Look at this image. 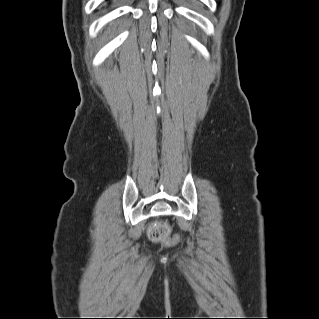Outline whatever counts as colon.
Wrapping results in <instances>:
<instances>
[{
	"label": "colon",
	"instance_id": "5ec220e1",
	"mask_svg": "<svg viewBox=\"0 0 319 319\" xmlns=\"http://www.w3.org/2000/svg\"><path fill=\"white\" fill-rule=\"evenodd\" d=\"M148 235L153 241L164 242L170 245H175L178 243V237L170 235L169 228L166 224L152 225L149 229Z\"/></svg>",
	"mask_w": 319,
	"mask_h": 319
}]
</instances>
